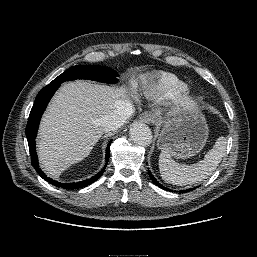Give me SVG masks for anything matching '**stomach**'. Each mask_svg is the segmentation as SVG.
I'll return each instance as SVG.
<instances>
[{
  "label": "stomach",
  "instance_id": "1",
  "mask_svg": "<svg viewBox=\"0 0 257 257\" xmlns=\"http://www.w3.org/2000/svg\"><path fill=\"white\" fill-rule=\"evenodd\" d=\"M207 138L206 120L201 113L196 112L164 121L157 143L160 149L167 150L171 156L186 159L199 153Z\"/></svg>",
  "mask_w": 257,
  "mask_h": 257
}]
</instances>
